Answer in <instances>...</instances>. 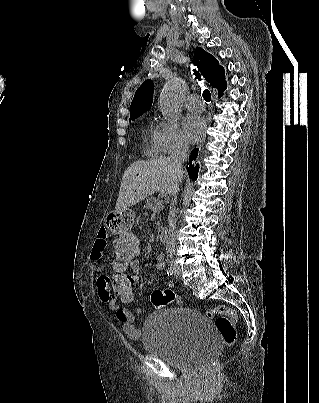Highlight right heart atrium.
<instances>
[{
  "label": "right heart atrium",
  "mask_w": 319,
  "mask_h": 403,
  "mask_svg": "<svg viewBox=\"0 0 319 403\" xmlns=\"http://www.w3.org/2000/svg\"><path fill=\"white\" fill-rule=\"evenodd\" d=\"M156 142L162 154L177 153L187 147L178 124L174 122L163 121L157 125Z\"/></svg>",
  "instance_id": "right-heart-atrium-1"
}]
</instances>
